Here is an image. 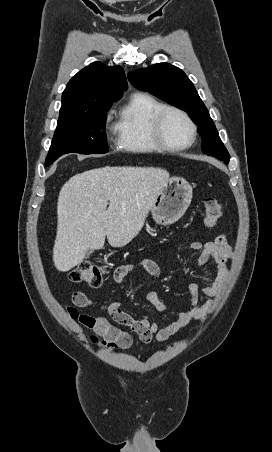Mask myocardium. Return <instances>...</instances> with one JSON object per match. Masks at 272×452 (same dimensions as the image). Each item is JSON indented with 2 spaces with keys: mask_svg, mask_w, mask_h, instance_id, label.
<instances>
[{
  "mask_svg": "<svg viewBox=\"0 0 272 452\" xmlns=\"http://www.w3.org/2000/svg\"><path fill=\"white\" fill-rule=\"evenodd\" d=\"M167 112H175L184 118L190 129V139L187 142L182 144H171L165 139L162 129V123L163 118ZM151 132L155 142L161 149L169 151H179L189 148L195 142L197 136V127L189 114L183 109L172 105H163L152 118Z\"/></svg>",
  "mask_w": 272,
  "mask_h": 452,
  "instance_id": "1",
  "label": "myocardium"
}]
</instances>
